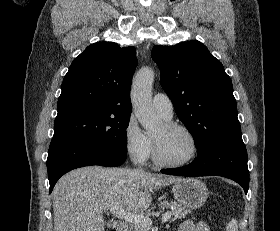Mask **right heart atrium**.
Listing matches in <instances>:
<instances>
[{
    "label": "right heart atrium",
    "mask_w": 280,
    "mask_h": 231,
    "mask_svg": "<svg viewBox=\"0 0 280 231\" xmlns=\"http://www.w3.org/2000/svg\"><path fill=\"white\" fill-rule=\"evenodd\" d=\"M123 143L126 152L139 162L146 161L153 151L152 141L141 131L133 117H129L125 124Z\"/></svg>",
    "instance_id": "d8ad5b80"
}]
</instances>
